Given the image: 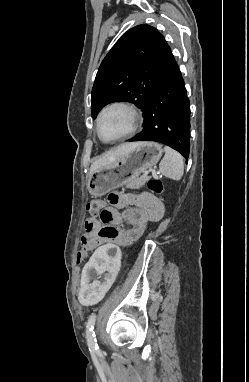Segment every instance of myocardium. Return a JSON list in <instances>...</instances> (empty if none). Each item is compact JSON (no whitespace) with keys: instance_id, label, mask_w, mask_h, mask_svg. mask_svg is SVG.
<instances>
[{"instance_id":"f54148a6","label":"myocardium","mask_w":249,"mask_h":382,"mask_svg":"<svg viewBox=\"0 0 249 382\" xmlns=\"http://www.w3.org/2000/svg\"><path fill=\"white\" fill-rule=\"evenodd\" d=\"M114 109H120V110H123L127 113L128 117H129V129L124 134H121V135L114 137V138H111V139H106L101 135L100 122H101L103 116L107 112L114 110ZM140 124H141V115L134 105H132L128 102H124V101H115V102H111V103L107 104L106 106H104L101 109V111L99 112V114L97 116L95 126H96V133H97V135L101 141H103L104 143H114V142L125 140V139L133 136L135 134V132L137 131L138 127L140 126Z\"/></svg>"}]
</instances>
